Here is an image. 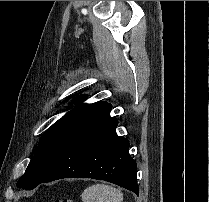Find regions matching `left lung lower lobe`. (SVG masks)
Returning <instances> with one entry per match:
<instances>
[{
  "instance_id": "left-lung-lower-lobe-1",
  "label": "left lung lower lobe",
  "mask_w": 209,
  "mask_h": 202,
  "mask_svg": "<svg viewBox=\"0 0 209 202\" xmlns=\"http://www.w3.org/2000/svg\"><path fill=\"white\" fill-rule=\"evenodd\" d=\"M110 110L111 105L106 104L78 127L43 182L93 178L117 184L138 195L137 165L129 155V141L115 132L118 121L110 117Z\"/></svg>"
}]
</instances>
